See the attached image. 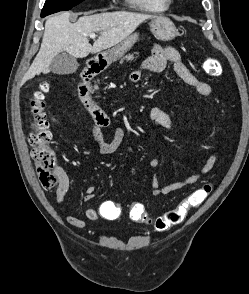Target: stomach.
<instances>
[{
  "instance_id": "stomach-1",
  "label": "stomach",
  "mask_w": 249,
  "mask_h": 294,
  "mask_svg": "<svg viewBox=\"0 0 249 294\" xmlns=\"http://www.w3.org/2000/svg\"><path fill=\"white\" fill-rule=\"evenodd\" d=\"M150 29L154 36L161 41H170L178 36V30L173 22L164 16L151 18ZM138 35L132 34L119 44L102 52L99 56L102 66H109L111 63L120 59L137 41Z\"/></svg>"
}]
</instances>
